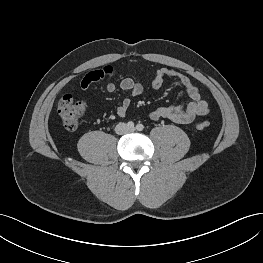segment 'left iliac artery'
Instances as JSON below:
<instances>
[{"label": "left iliac artery", "mask_w": 263, "mask_h": 263, "mask_svg": "<svg viewBox=\"0 0 263 263\" xmlns=\"http://www.w3.org/2000/svg\"><path fill=\"white\" fill-rule=\"evenodd\" d=\"M136 129L138 131H142L144 129V126L142 124H137Z\"/></svg>", "instance_id": "44dca946"}]
</instances>
